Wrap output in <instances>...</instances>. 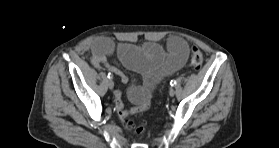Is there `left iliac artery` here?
Wrapping results in <instances>:
<instances>
[{
  "label": "left iliac artery",
  "mask_w": 279,
  "mask_h": 148,
  "mask_svg": "<svg viewBox=\"0 0 279 148\" xmlns=\"http://www.w3.org/2000/svg\"><path fill=\"white\" fill-rule=\"evenodd\" d=\"M170 85L171 86H175L176 85V81L175 80H171Z\"/></svg>",
  "instance_id": "1"
}]
</instances>
